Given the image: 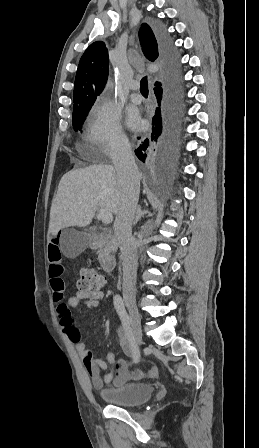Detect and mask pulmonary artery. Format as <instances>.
<instances>
[{"instance_id": "1", "label": "pulmonary artery", "mask_w": 259, "mask_h": 448, "mask_svg": "<svg viewBox=\"0 0 259 448\" xmlns=\"http://www.w3.org/2000/svg\"><path fill=\"white\" fill-rule=\"evenodd\" d=\"M139 82L138 81H132L131 82V84H130V88L132 89V90H136V89H138L139 88ZM130 99H131V101L133 102V103H140L141 101H142V97L139 95V94H136V93H132L131 95H130Z\"/></svg>"}]
</instances>
